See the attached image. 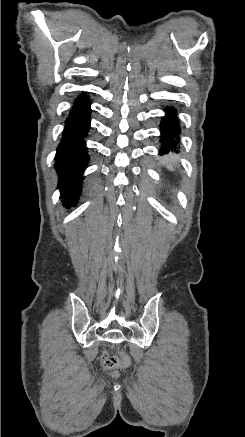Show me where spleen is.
<instances>
[{
    "instance_id": "1",
    "label": "spleen",
    "mask_w": 245,
    "mask_h": 437,
    "mask_svg": "<svg viewBox=\"0 0 245 437\" xmlns=\"http://www.w3.org/2000/svg\"><path fill=\"white\" fill-rule=\"evenodd\" d=\"M166 167L169 170H174V160L173 159H167Z\"/></svg>"
}]
</instances>
